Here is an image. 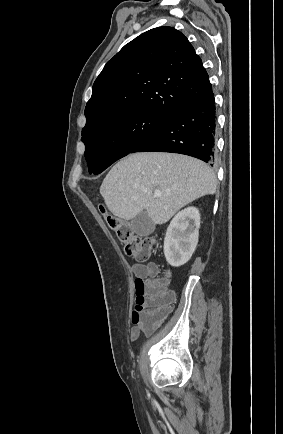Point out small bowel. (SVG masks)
<instances>
[{
  "instance_id": "1",
  "label": "small bowel",
  "mask_w": 283,
  "mask_h": 434,
  "mask_svg": "<svg viewBox=\"0 0 283 434\" xmlns=\"http://www.w3.org/2000/svg\"><path fill=\"white\" fill-rule=\"evenodd\" d=\"M132 272L135 277L138 278H147L155 276L158 273V267L154 262H149L147 264L135 263L132 266ZM173 294V292H172ZM174 296V294H173ZM171 310V309H170ZM141 329L138 326H135L131 329V339L136 340L139 338L141 334Z\"/></svg>"
}]
</instances>
